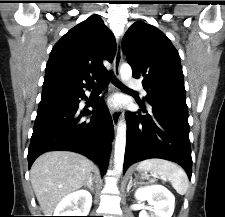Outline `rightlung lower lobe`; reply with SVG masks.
Returning <instances> with one entry per match:
<instances>
[{"label":"right lung lower lobe","instance_id":"1","mask_svg":"<svg viewBox=\"0 0 225 217\" xmlns=\"http://www.w3.org/2000/svg\"><path fill=\"white\" fill-rule=\"evenodd\" d=\"M84 96L83 92L70 98L41 99L28 150L29 168L44 152L69 150L92 159L105 173L113 138L112 119L102 98L94 101L93 111L81 112L79 98ZM90 113H94L91 119L81 120Z\"/></svg>","mask_w":225,"mask_h":217}]
</instances>
